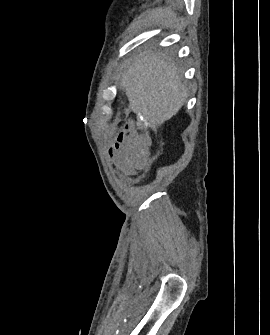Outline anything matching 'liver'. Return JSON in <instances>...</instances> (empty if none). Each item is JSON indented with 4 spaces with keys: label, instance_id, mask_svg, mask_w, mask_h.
<instances>
[{
    "label": "liver",
    "instance_id": "1",
    "mask_svg": "<svg viewBox=\"0 0 270 335\" xmlns=\"http://www.w3.org/2000/svg\"><path fill=\"white\" fill-rule=\"evenodd\" d=\"M130 110L141 114L147 126L171 120L186 102L187 90L178 68L163 54H141L128 66L121 82Z\"/></svg>",
    "mask_w": 270,
    "mask_h": 335
}]
</instances>
